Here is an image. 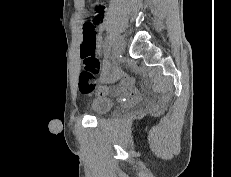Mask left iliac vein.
I'll use <instances>...</instances> for the list:
<instances>
[{"instance_id":"4c4485c4","label":"left iliac vein","mask_w":231,"mask_h":177,"mask_svg":"<svg viewBox=\"0 0 231 177\" xmlns=\"http://www.w3.org/2000/svg\"><path fill=\"white\" fill-rule=\"evenodd\" d=\"M126 46V41L124 37L119 36L114 44V57L118 59L124 52Z\"/></svg>"}]
</instances>
